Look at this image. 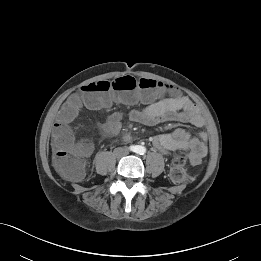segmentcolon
I'll return each instance as SVG.
<instances>
[{
    "label": "colon",
    "instance_id": "1",
    "mask_svg": "<svg viewBox=\"0 0 261 261\" xmlns=\"http://www.w3.org/2000/svg\"><path fill=\"white\" fill-rule=\"evenodd\" d=\"M165 85L147 78L124 76L116 80H100L82 86L84 101L92 107H103L109 102L106 97L112 96V102L122 104L148 103L156 99L164 90ZM73 99L62 111V121L55 129L54 136L60 148L54 156L57 170L70 180H80L85 171L84 153L86 146L75 141L73 131L67 125L75 115L77 101ZM188 158L185 154L174 157L170 175L177 182L188 181L191 175L187 167Z\"/></svg>",
    "mask_w": 261,
    "mask_h": 261
}]
</instances>
